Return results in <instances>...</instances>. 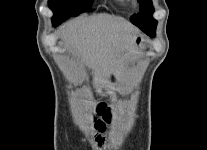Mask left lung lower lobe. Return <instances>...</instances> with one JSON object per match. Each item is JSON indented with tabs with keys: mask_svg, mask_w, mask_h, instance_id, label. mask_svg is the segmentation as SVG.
Here are the masks:
<instances>
[{
	"mask_svg": "<svg viewBox=\"0 0 207 150\" xmlns=\"http://www.w3.org/2000/svg\"><path fill=\"white\" fill-rule=\"evenodd\" d=\"M151 36L153 37V36H155V34H151Z\"/></svg>",
	"mask_w": 207,
	"mask_h": 150,
	"instance_id": "0a47b994",
	"label": "left lung lower lobe"
}]
</instances>
